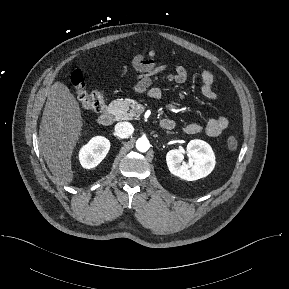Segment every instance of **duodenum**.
Masks as SVG:
<instances>
[{
    "instance_id": "1",
    "label": "duodenum",
    "mask_w": 289,
    "mask_h": 289,
    "mask_svg": "<svg viewBox=\"0 0 289 289\" xmlns=\"http://www.w3.org/2000/svg\"><path fill=\"white\" fill-rule=\"evenodd\" d=\"M97 121L101 126H109L113 122V113L105 110L98 115ZM160 126L165 130H172L174 128V122L171 119L163 118L160 121Z\"/></svg>"
}]
</instances>
